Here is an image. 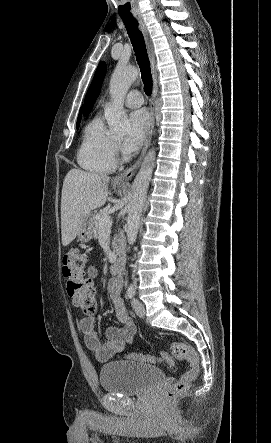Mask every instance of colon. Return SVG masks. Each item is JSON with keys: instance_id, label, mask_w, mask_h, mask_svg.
<instances>
[{"instance_id": "1", "label": "colon", "mask_w": 271, "mask_h": 443, "mask_svg": "<svg viewBox=\"0 0 271 443\" xmlns=\"http://www.w3.org/2000/svg\"><path fill=\"white\" fill-rule=\"evenodd\" d=\"M86 263L87 255L85 252L77 249L71 250L63 257V274L68 280L67 293L72 298L74 305L86 314H94L96 311L95 288L91 279L85 276ZM171 353L175 359L187 361L189 367L165 391L163 400L166 404H172L179 398L199 373V357L191 346L182 342H173ZM127 358L150 363L159 360L169 366L173 365V359L167 352H160L158 358L153 355L139 353H131L127 355Z\"/></svg>"}]
</instances>
